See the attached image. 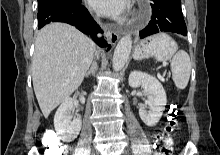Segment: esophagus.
<instances>
[{"instance_id": "34e87169", "label": "esophagus", "mask_w": 220, "mask_h": 155, "mask_svg": "<svg viewBox=\"0 0 220 155\" xmlns=\"http://www.w3.org/2000/svg\"><path fill=\"white\" fill-rule=\"evenodd\" d=\"M109 41L112 45H115L119 40V34L113 30L108 31Z\"/></svg>"}]
</instances>
